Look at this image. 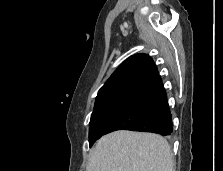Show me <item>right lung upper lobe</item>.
<instances>
[{"mask_svg": "<svg viewBox=\"0 0 223 171\" xmlns=\"http://www.w3.org/2000/svg\"><path fill=\"white\" fill-rule=\"evenodd\" d=\"M152 58L136 54L125 60L99 90L96 100L112 96H139L161 83Z\"/></svg>", "mask_w": 223, "mask_h": 171, "instance_id": "obj_1", "label": "right lung upper lobe"}]
</instances>
